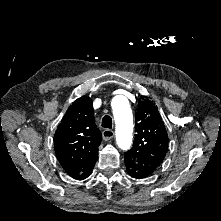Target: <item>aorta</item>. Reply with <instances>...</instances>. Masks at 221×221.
I'll return each instance as SVG.
<instances>
[{"label": "aorta", "instance_id": "aorta-1", "mask_svg": "<svg viewBox=\"0 0 221 221\" xmlns=\"http://www.w3.org/2000/svg\"><path fill=\"white\" fill-rule=\"evenodd\" d=\"M116 124V142L122 150H128L132 143L133 118L128 100L118 96L112 103Z\"/></svg>", "mask_w": 221, "mask_h": 221}]
</instances>
